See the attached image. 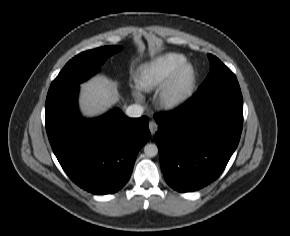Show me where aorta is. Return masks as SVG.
Segmentation results:
<instances>
[{"instance_id":"762f6f07","label":"aorta","mask_w":290,"mask_h":236,"mask_svg":"<svg viewBox=\"0 0 290 236\" xmlns=\"http://www.w3.org/2000/svg\"><path fill=\"white\" fill-rule=\"evenodd\" d=\"M144 153L147 157H154L158 154V147L152 143L146 144L144 146Z\"/></svg>"}]
</instances>
